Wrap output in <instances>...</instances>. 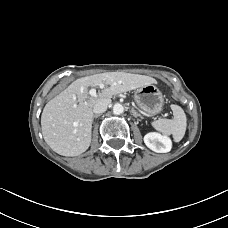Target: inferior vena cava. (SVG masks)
<instances>
[{"label":"inferior vena cava","mask_w":228,"mask_h":228,"mask_svg":"<svg viewBox=\"0 0 228 228\" xmlns=\"http://www.w3.org/2000/svg\"><path fill=\"white\" fill-rule=\"evenodd\" d=\"M109 104H110V101H107V100L98 101L93 107V112L95 114H101L107 110V107Z\"/></svg>","instance_id":"602c4592"}]
</instances>
